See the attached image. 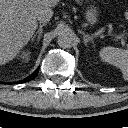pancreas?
Here are the masks:
<instances>
[{"mask_svg": "<svg viewBox=\"0 0 128 128\" xmlns=\"http://www.w3.org/2000/svg\"><path fill=\"white\" fill-rule=\"evenodd\" d=\"M76 2L81 3V0H76Z\"/></svg>", "mask_w": 128, "mask_h": 128, "instance_id": "pancreas-1", "label": "pancreas"}]
</instances>
